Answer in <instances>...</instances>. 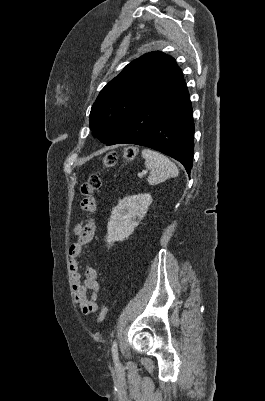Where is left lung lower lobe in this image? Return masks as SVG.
<instances>
[{
	"instance_id": "0a47b994",
	"label": "left lung lower lobe",
	"mask_w": 265,
	"mask_h": 401,
	"mask_svg": "<svg viewBox=\"0 0 265 401\" xmlns=\"http://www.w3.org/2000/svg\"><path fill=\"white\" fill-rule=\"evenodd\" d=\"M194 131L192 105L181 75L144 106L107 145L124 143L155 149L181 162L190 174Z\"/></svg>"
}]
</instances>
